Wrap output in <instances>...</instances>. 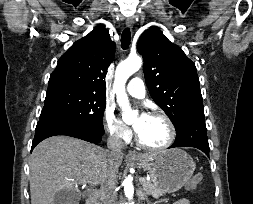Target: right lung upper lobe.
<instances>
[{"label":"right lung upper lobe","mask_w":253,"mask_h":204,"mask_svg":"<svg viewBox=\"0 0 253 204\" xmlns=\"http://www.w3.org/2000/svg\"><path fill=\"white\" fill-rule=\"evenodd\" d=\"M114 54L115 44L109 32L99 25L60 57L48 86H74L105 97L104 79Z\"/></svg>","instance_id":"obj_1"}]
</instances>
